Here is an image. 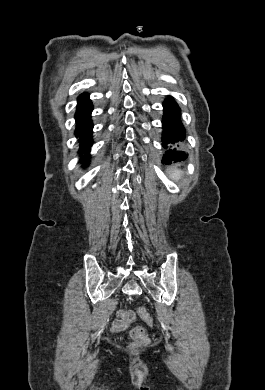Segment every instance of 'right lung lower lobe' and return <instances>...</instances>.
<instances>
[{"label": "right lung lower lobe", "instance_id": "obj_1", "mask_svg": "<svg viewBox=\"0 0 265 390\" xmlns=\"http://www.w3.org/2000/svg\"><path fill=\"white\" fill-rule=\"evenodd\" d=\"M92 109V103L89 99V95L87 93L81 94L78 97V106L75 114V135L79 137V141L81 143L80 150L85 149L86 155L82 160H84L88 156V150L86 148H89L92 145L91 134L93 124L90 120Z\"/></svg>", "mask_w": 265, "mask_h": 390}]
</instances>
